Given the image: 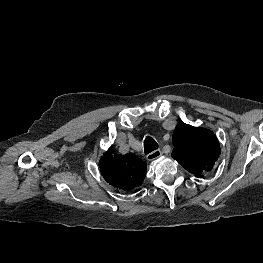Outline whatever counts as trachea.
I'll return each mask as SVG.
<instances>
[{
	"label": "trachea",
	"instance_id": "3493384b",
	"mask_svg": "<svg viewBox=\"0 0 263 263\" xmlns=\"http://www.w3.org/2000/svg\"><path fill=\"white\" fill-rule=\"evenodd\" d=\"M158 149L157 142L150 136H147L144 140V152L145 154H149L154 150Z\"/></svg>",
	"mask_w": 263,
	"mask_h": 263
}]
</instances>
